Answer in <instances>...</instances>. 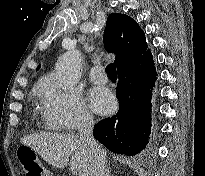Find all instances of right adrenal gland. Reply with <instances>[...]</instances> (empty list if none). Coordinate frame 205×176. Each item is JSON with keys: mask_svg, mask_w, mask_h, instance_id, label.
Segmentation results:
<instances>
[{"mask_svg": "<svg viewBox=\"0 0 205 176\" xmlns=\"http://www.w3.org/2000/svg\"><path fill=\"white\" fill-rule=\"evenodd\" d=\"M105 176H112L109 166L106 167V175Z\"/></svg>", "mask_w": 205, "mask_h": 176, "instance_id": "right-adrenal-gland-1", "label": "right adrenal gland"}]
</instances>
